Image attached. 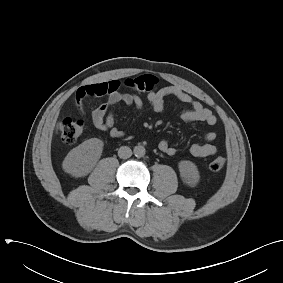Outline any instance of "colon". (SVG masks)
Masks as SVG:
<instances>
[{
	"instance_id": "obj_1",
	"label": "colon",
	"mask_w": 283,
	"mask_h": 283,
	"mask_svg": "<svg viewBox=\"0 0 283 283\" xmlns=\"http://www.w3.org/2000/svg\"><path fill=\"white\" fill-rule=\"evenodd\" d=\"M157 78L152 75H143L136 78L126 79L124 85L130 89L138 92L152 91L156 84ZM85 128V124L82 120H74L66 118L61 127V139L64 144L72 145L82 135ZM225 165V159L223 157H217L213 159L209 167L213 171L222 169Z\"/></svg>"
}]
</instances>
